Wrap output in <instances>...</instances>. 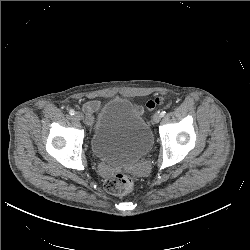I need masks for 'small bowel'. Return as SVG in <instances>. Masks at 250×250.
Segmentation results:
<instances>
[{
  "label": "small bowel",
  "mask_w": 250,
  "mask_h": 250,
  "mask_svg": "<svg viewBox=\"0 0 250 250\" xmlns=\"http://www.w3.org/2000/svg\"><path fill=\"white\" fill-rule=\"evenodd\" d=\"M100 108V102L97 100H91L85 103L83 110L87 116L88 123H91L93 120L94 113Z\"/></svg>",
  "instance_id": "small-bowel-1"
}]
</instances>
